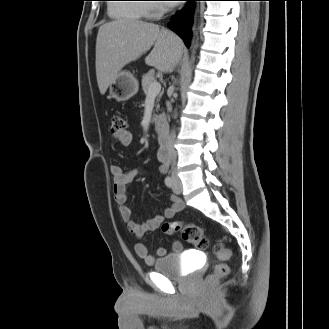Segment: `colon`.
I'll list each match as a JSON object with an SVG mask.
<instances>
[{
    "label": "colon",
    "instance_id": "5ec220e1",
    "mask_svg": "<svg viewBox=\"0 0 329 329\" xmlns=\"http://www.w3.org/2000/svg\"><path fill=\"white\" fill-rule=\"evenodd\" d=\"M126 130V120L123 116L119 114H113L111 116V132L114 136L122 134ZM162 231L167 235H174L181 232L182 238L194 244L200 248H206L208 246L209 240L205 235L204 230L193 223H182L179 221H169L162 224ZM214 253L220 260L214 266L213 272L207 277L206 283L213 284L223 279L229 274V265L227 261L229 260L231 253L225 248L223 243L217 242L214 245Z\"/></svg>",
    "mask_w": 329,
    "mask_h": 329
}]
</instances>
